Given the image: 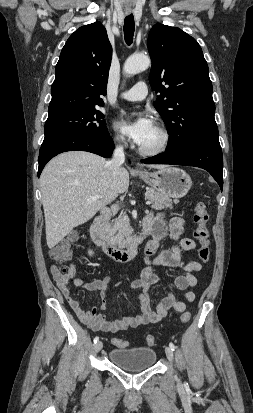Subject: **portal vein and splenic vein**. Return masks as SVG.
Here are the masks:
<instances>
[{
	"instance_id": "obj_1",
	"label": "portal vein and splenic vein",
	"mask_w": 253,
	"mask_h": 413,
	"mask_svg": "<svg viewBox=\"0 0 253 413\" xmlns=\"http://www.w3.org/2000/svg\"><path fill=\"white\" fill-rule=\"evenodd\" d=\"M99 198H101V196H99V195L92 196L91 198L88 199V202L95 201V200H97V199H99ZM151 203H152L151 201H147V202H146V205L149 206V205H151Z\"/></svg>"
}]
</instances>
